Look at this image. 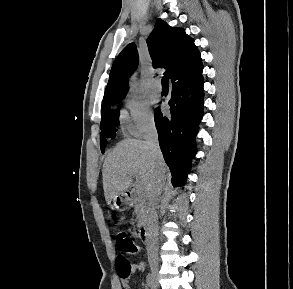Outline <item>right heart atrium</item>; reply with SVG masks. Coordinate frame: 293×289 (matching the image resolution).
Segmentation results:
<instances>
[{
  "mask_svg": "<svg viewBox=\"0 0 293 289\" xmlns=\"http://www.w3.org/2000/svg\"><path fill=\"white\" fill-rule=\"evenodd\" d=\"M128 126L135 136H143L155 127V119L146 98L136 92H130L124 100Z\"/></svg>",
  "mask_w": 293,
  "mask_h": 289,
  "instance_id": "obj_1",
  "label": "right heart atrium"
}]
</instances>
